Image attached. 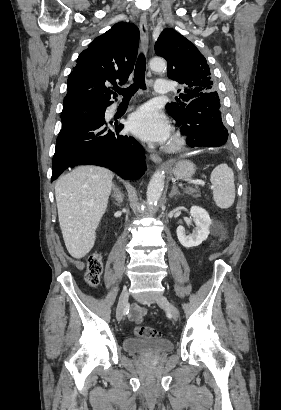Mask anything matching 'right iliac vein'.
I'll use <instances>...</instances> for the list:
<instances>
[{"label": "right iliac vein", "instance_id": "1", "mask_svg": "<svg viewBox=\"0 0 281 410\" xmlns=\"http://www.w3.org/2000/svg\"><path fill=\"white\" fill-rule=\"evenodd\" d=\"M129 292L128 290H123L118 301L116 318L118 321H121L125 312L126 305L128 303Z\"/></svg>", "mask_w": 281, "mask_h": 410}]
</instances>
